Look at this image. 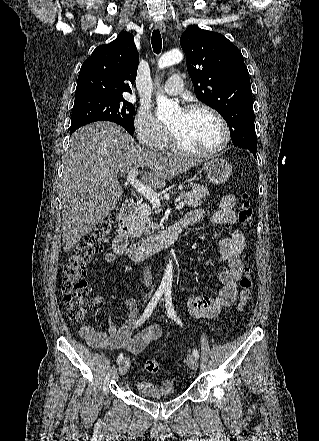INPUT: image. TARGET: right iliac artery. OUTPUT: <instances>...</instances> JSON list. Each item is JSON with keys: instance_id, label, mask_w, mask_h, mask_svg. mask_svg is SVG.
Returning <instances> with one entry per match:
<instances>
[{"instance_id": "right-iliac-artery-1", "label": "right iliac artery", "mask_w": 319, "mask_h": 441, "mask_svg": "<svg viewBox=\"0 0 319 441\" xmlns=\"http://www.w3.org/2000/svg\"><path fill=\"white\" fill-rule=\"evenodd\" d=\"M164 293V290L158 289L155 294L153 295L151 301L149 302L148 306L146 307L143 315L140 317V319L136 322V327L143 324L152 314L154 308L156 307L159 299L161 298L162 294ZM123 360V354L121 353L117 358V364H120Z\"/></svg>"}]
</instances>
